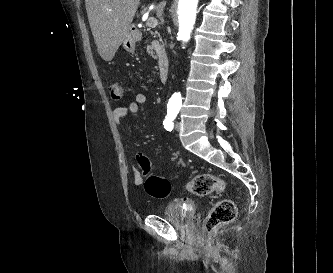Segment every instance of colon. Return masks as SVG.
<instances>
[{
	"label": "colon",
	"mask_w": 333,
	"mask_h": 273,
	"mask_svg": "<svg viewBox=\"0 0 333 273\" xmlns=\"http://www.w3.org/2000/svg\"><path fill=\"white\" fill-rule=\"evenodd\" d=\"M110 95L114 100H121L124 95L123 87L118 82H113L110 87ZM140 171L147 175L151 170V162L148 157H137ZM189 192L196 196H207L215 192H221L225 188V182L220 177L203 173L192 178L186 185ZM146 192L155 198H166L171 191L170 182L163 176L151 175L145 181ZM236 217V206L230 199H221L216 202L203 222V230L207 234L215 232L220 226L232 222Z\"/></svg>",
	"instance_id": "obj_1"
}]
</instances>
